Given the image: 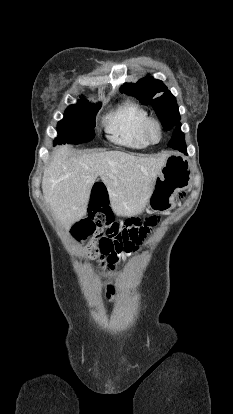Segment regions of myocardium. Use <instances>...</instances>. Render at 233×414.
Returning a JSON list of instances; mask_svg holds the SVG:
<instances>
[{
	"mask_svg": "<svg viewBox=\"0 0 233 414\" xmlns=\"http://www.w3.org/2000/svg\"><path fill=\"white\" fill-rule=\"evenodd\" d=\"M153 129H155L157 131V134H158L157 139H155L152 135ZM144 134H145V137L147 138V140L150 143L159 142L161 140L162 134H163L162 126H161L160 122L155 118L149 117L146 120L145 124H144Z\"/></svg>",
	"mask_w": 233,
	"mask_h": 414,
	"instance_id": "obj_1",
	"label": "myocardium"
}]
</instances>
